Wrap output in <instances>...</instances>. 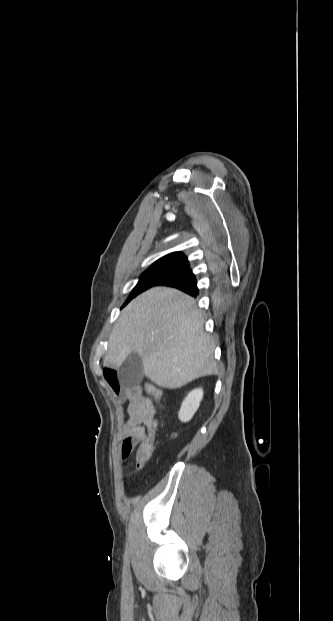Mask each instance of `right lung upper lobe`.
I'll return each instance as SVG.
<instances>
[{"mask_svg":"<svg viewBox=\"0 0 333 621\" xmlns=\"http://www.w3.org/2000/svg\"><path fill=\"white\" fill-rule=\"evenodd\" d=\"M168 258H176V259H187L182 253L180 252H173L170 253L164 257H162L161 259H168ZM160 260V259H159Z\"/></svg>","mask_w":333,"mask_h":621,"instance_id":"obj_1","label":"right lung upper lobe"}]
</instances>
